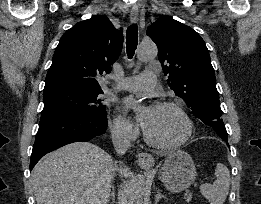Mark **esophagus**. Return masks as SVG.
Listing matches in <instances>:
<instances>
[{
    "label": "esophagus",
    "mask_w": 261,
    "mask_h": 204,
    "mask_svg": "<svg viewBox=\"0 0 261 204\" xmlns=\"http://www.w3.org/2000/svg\"><path fill=\"white\" fill-rule=\"evenodd\" d=\"M138 19H139V10L136 6H134L130 12V20L132 23H136ZM137 163L141 168L150 169L154 166L155 158L153 155L149 153L141 152L138 155Z\"/></svg>",
    "instance_id": "esophagus-1"
}]
</instances>
